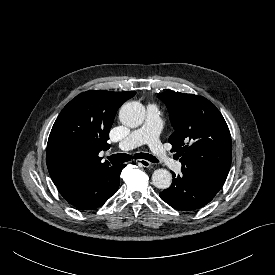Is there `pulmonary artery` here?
<instances>
[{
    "label": "pulmonary artery",
    "instance_id": "1",
    "mask_svg": "<svg viewBox=\"0 0 275 275\" xmlns=\"http://www.w3.org/2000/svg\"><path fill=\"white\" fill-rule=\"evenodd\" d=\"M161 130V112L158 105L152 103L147 105V116L144 124L131 131L118 144V148L122 151L134 149L142 144H147L155 157L164 163L170 169L179 172L182 163L173 159L165 150L159 139Z\"/></svg>",
    "mask_w": 275,
    "mask_h": 275
}]
</instances>
